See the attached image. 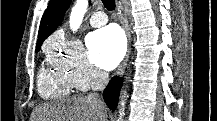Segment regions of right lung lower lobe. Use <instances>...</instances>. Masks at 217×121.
Returning <instances> with one entry per match:
<instances>
[{"instance_id": "1", "label": "right lung lower lobe", "mask_w": 217, "mask_h": 121, "mask_svg": "<svg viewBox=\"0 0 217 121\" xmlns=\"http://www.w3.org/2000/svg\"><path fill=\"white\" fill-rule=\"evenodd\" d=\"M122 82L121 78L113 77L103 92L104 100L111 110L117 107Z\"/></svg>"}]
</instances>
